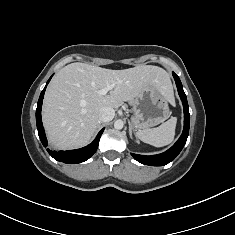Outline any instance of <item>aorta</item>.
I'll use <instances>...</instances> for the list:
<instances>
[{"mask_svg": "<svg viewBox=\"0 0 235 235\" xmlns=\"http://www.w3.org/2000/svg\"><path fill=\"white\" fill-rule=\"evenodd\" d=\"M123 126H124V123H123L122 120H117V121H115V123H114V128L117 129V130L122 129Z\"/></svg>", "mask_w": 235, "mask_h": 235, "instance_id": "aorta-1", "label": "aorta"}]
</instances>
